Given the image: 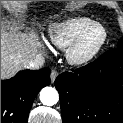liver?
I'll list each match as a JSON object with an SVG mask.
<instances>
[{
  "instance_id": "obj_1",
  "label": "liver",
  "mask_w": 123,
  "mask_h": 123,
  "mask_svg": "<svg viewBox=\"0 0 123 123\" xmlns=\"http://www.w3.org/2000/svg\"><path fill=\"white\" fill-rule=\"evenodd\" d=\"M38 53L36 43L16 28H1V79L13 76L24 68L23 63Z\"/></svg>"
}]
</instances>
